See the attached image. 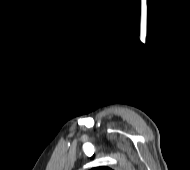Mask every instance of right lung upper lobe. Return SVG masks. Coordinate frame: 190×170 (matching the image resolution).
<instances>
[{
    "mask_svg": "<svg viewBox=\"0 0 190 170\" xmlns=\"http://www.w3.org/2000/svg\"><path fill=\"white\" fill-rule=\"evenodd\" d=\"M92 170H112L108 167H97V168H93Z\"/></svg>",
    "mask_w": 190,
    "mask_h": 170,
    "instance_id": "1",
    "label": "right lung upper lobe"
}]
</instances>
